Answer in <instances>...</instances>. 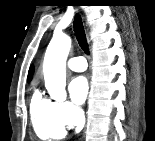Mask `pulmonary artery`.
<instances>
[{
  "mask_svg": "<svg viewBox=\"0 0 155 141\" xmlns=\"http://www.w3.org/2000/svg\"><path fill=\"white\" fill-rule=\"evenodd\" d=\"M68 67L77 72L84 71L87 68V63L84 57L78 56L69 59Z\"/></svg>",
  "mask_w": 155,
  "mask_h": 141,
  "instance_id": "e3ab8cb5",
  "label": "pulmonary artery"
}]
</instances>
